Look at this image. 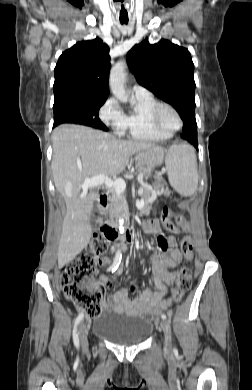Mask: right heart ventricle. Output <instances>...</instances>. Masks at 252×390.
Segmentation results:
<instances>
[{
    "instance_id": "right-heart-ventricle-1",
    "label": "right heart ventricle",
    "mask_w": 252,
    "mask_h": 390,
    "mask_svg": "<svg viewBox=\"0 0 252 390\" xmlns=\"http://www.w3.org/2000/svg\"><path fill=\"white\" fill-rule=\"evenodd\" d=\"M159 102L150 94L132 99V109L124 115V131L128 139L142 142H163L171 135L156 130L150 122V113ZM119 134V135H121Z\"/></svg>"
}]
</instances>
